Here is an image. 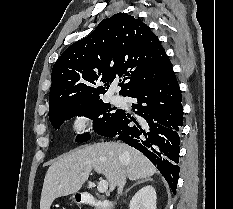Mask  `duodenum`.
Instances as JSON below:
<instances>
[{
	"label": "duodenum",
	"instance_id": "410a0bca",
	"mask_svg": "<svg viewBox=\"0 0 233 209\" xmlns=\"http://www.w3.org/2000/svg\"><path fill=\"white\" fill-rule=\"evenodd\" d=\"M78 202L91 206L95 209H112V202L109 200H99L89 193H82L78 197Z\"/></svg>",
	"mask_w": 233,
	"mask_h": 209
}]
</instances>
